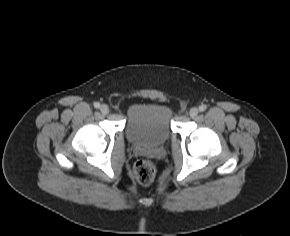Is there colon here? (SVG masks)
I'll return each instance as SVG.
<instances>
[{"instance_id":"obj_1","label":"colon","mask_w":290,"mask_h":236,"mask_svg":"<svg viewBox=\"0 0 290 236\" xmlns=\"http://www.w3.org/2000/svg\"><path fill=\"white\" fill-rule=\"evenodd\" d=\"M134 176L136 180L144 185L154 181L156 176V167L149 160H139L134 166Z\"/></svg>"}]
</instances>
